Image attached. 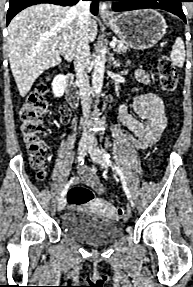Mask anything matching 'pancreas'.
<instances>
[{"label": "pancreas", "instance_id": "obj_1", "mask_svg": "<svg viewBox=\"0 0 193 287\" xmlns=\"http://www.w3.org/2000/svg\"><path fill=\"white\" fill-rule=\"evenodd\" d=\"M129 49V44L124 40L116 41L115 51L119 54L125 53Z\"/></svg>", "mask_w": 193, "mask_h": 287}]
</instances>
